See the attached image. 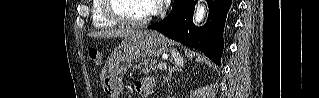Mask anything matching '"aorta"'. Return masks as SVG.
I'll return each mask as SVG.
<instances>
[{
  "label": "aorta",
  "instance_id": "obj_1",
  "mask_svg": "<svg viewBox=\"0 0 319 98\" xmlns=\"http://www.w3.org/2000/svg\"><path fill=\"white\" fill-rule=\"evenodd\" d=\"M205 14H206V7L203 4V1H200L198 3V5L196 6V9H195L194 23L195 24L200 23L204 19Z\"/></svg>",
  "mask_w": 319,
  "mask_h": 98
}]
</instances>
